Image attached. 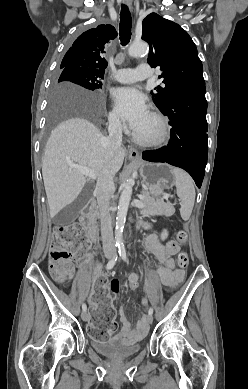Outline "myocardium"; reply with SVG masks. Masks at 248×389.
<instances>
[{
    "label": "myocardium",
    "mask_w": 248,
    "mask_h": 389,
    "mask_svg": "<svg viewBox=\"0 0 248 389\" xmlns=\"http://www.w3.org/2000/svg\"><path fill=\"white\" fill-rule=\"evenodd\" d=\"M149 115L158 123L159 132L153 138H144L135 131L132 132L133 140L141 146L157 147L165 144L170 138V127L167 119L158 111L152 110Z\"/></svg>",
    "instance_id": "obj_1"
}]
</instances>
